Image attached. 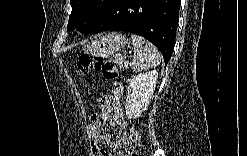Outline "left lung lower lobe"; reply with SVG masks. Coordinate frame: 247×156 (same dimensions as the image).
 <instances>
[{"instance_id":"left-lung-lower-lobe-1","label":"left lung lower lobe","mask_w":247,"mask_h":156,"mask_svg":"<svg viewBox=\"0 0 247 156\" xmlns=\"http://www.w3.org/2000/svg\"><path fill=\"white\" fill-rule=\"evenodd\" d=\"M179 8L180 0H114L89 34L122 30L143 36L160 50L166 65L174 48Z\"/></svg>"}]
</instances>
